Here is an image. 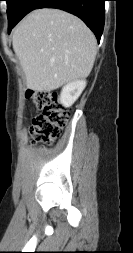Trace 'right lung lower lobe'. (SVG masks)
<instances>
[{
    "instance_id": "1",
    "label": "right lung lower lobe",
    "mask_w": 133,
    "mask_h": 253,
    "mask_svg": "<svg viewBox=\"0 0 133 253\" xmlns=\"http://www.w3.org/2000/svg\"><path fill=\"white\" fill-rule=\"evenodd\" d=\"M105 1L106 0H25L20 8L18 22L26 14L35 9H61L79 17L93 31L97 40L100 41L105 21Z\"/></svg>"
}]
</instances>
